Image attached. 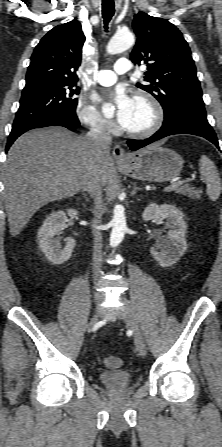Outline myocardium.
<instances>
[{
  "label": "myocardium",
  "instance_id": "1",
  "mask_svg": "<svg viewBox=\"0 0 222 447\" xmlns=\"http://www.w3.org/2000/svg\"><path fill=\"white\" fill-rule=\"evenodd\" d=\"M134 100L146 103L152 111L151 123L139 130L124 129V132L134 138H145L156 133L162 126L164 121V111L159 101L147 92H141L134 96Z\"/></svg>",
  "mask_w": 222,
  "mask_h": 447
}]
</instances>
